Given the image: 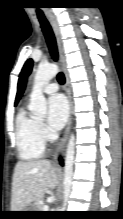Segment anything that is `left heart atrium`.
<instances>
[{"instance_id": "obj_1", "label": "left heart atrium", "mask_w": 123, "mask_h": 219, "mask_svg": "<svg viewBox=\"0 0 123 219\" xmlns=\"http://www.w3.org/2000/svg\"><path fill=\"white\" fill-rule=\"evenodd\" d=\"M68 104L65 97L55 94L48 99V123L53 130L61 129L68 117Z\"/></svg>"}]
</instances>
